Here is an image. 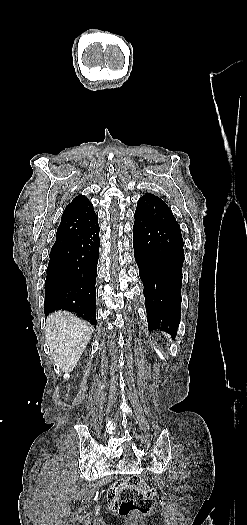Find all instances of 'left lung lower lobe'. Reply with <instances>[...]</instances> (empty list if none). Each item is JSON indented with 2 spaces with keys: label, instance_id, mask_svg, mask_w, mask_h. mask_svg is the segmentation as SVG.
<instances>
[{
  "label": "left lung lower lobe",
  "instance_id": "1",
  "mask_svg": "<svg viewBox=\"0 0 247 525\" xmlns=\"http://www.w3.org/2000/svg\"><path fill=\"white\" fill-rule=\"evenodd\" d=\"M134 218L133 248L144 285L148 329L175 336L181 316V231L153 219Z\"/></svg>",
  "mask_w": 247,
  "mask_h": 525
}]
</instances>
